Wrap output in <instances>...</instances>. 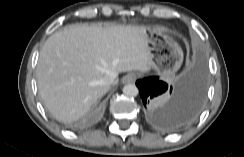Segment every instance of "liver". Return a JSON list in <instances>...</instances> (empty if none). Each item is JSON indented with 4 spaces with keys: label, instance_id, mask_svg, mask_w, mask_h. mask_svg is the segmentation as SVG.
<instances>
[{
    "label": "liver",
    "instance_id": "6515ba94",
    "mask_svg": "<svg viewBox=\"0 0 244 157\" xmlns=\"http://www.w3.org/2000/svg\"><path fill=\"white\" fill-rule=\"evenodd\" d=\"M146 28L133 25L72 24L44 43L36 69L38 92L62 122L79 119L109 89V73L149 71Z\"/></svg>",
    "mask_w": 244,
    "mask_h": 157
}]
</instances>
